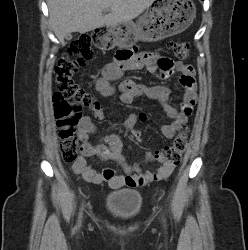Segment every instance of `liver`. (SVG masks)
<instances>
[{
    "mask_svg": "<svg viewBox=\"0 0 248 250\" xmlns=\"http://www.w3.org/2000/svg\"><path fill=\"white\" fill-rule=\"evenodd\" d=\"M155 0H48L50 22L61 45L72 32L132 21ZM104 10L111 12L103 16Z\"/></svg>",
    "mask_w": 248,
    "mask_h": 250,
    "instance_id": "obj_1",
    "label": "liver"
}]
</instances>
